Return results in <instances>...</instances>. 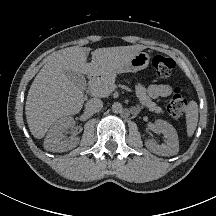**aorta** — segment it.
<instances>
[{
	"label": "aorta",
	"mask_w": 216,
	"mask_h": 216,
	"mask_svg": "<svg viewBox=\"0 0 216 216\" xmlns=\"http://www.w3.org/2000/svg\"><path fill=\"white\" fill-rule=\"evenodd\" d=\"M122 110H123V107H122L121 103H119V102L113 103V105H112V111L114 113H121Z\"/></svg>",
	"instance_id": "aorta-1"
}]
</instances>
